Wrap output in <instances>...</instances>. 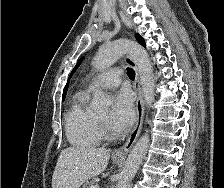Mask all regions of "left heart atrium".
I'll return each instance as SVG.
<instances>
[{
  "label": "left heart atrium",
  "mask_w": 224,
  "mask_h": 188,
  "mask_svg": "<svg viewBox=\"0 0 224 188\" xmlns=\"http://www.w3.org/2000/svg\"><path fill=\"white\" fill-rule=\"evenodd\" d=\"M135 119L134 98L129 90H121L113 100L109 115L110 126L117 131L130 127Z\"/></svg>",
  "instance_id": "obj_1"
}]
</instances>
